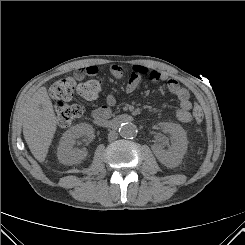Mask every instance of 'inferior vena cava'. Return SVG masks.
<instances>
[{
	"label": "inferior vena cava",
	"mask_w": 245,
	"mask_h": 245,
	"mask_svg": "<svg viewBox=\"0 0 245 245\" xmlns=\"http://www.w3.org/2000/svg\"><path fill=\"white\" fill-rule=\"evenodd\" d=\"M118 138V133L114 130L110 131L108 134V140L109 141H113L116 140Z\"/></svg>",
	"instance_id": "inferior-vena-cava-1"
}]
</instances>
